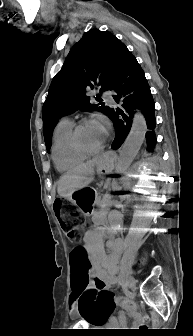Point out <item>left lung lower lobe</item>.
<instances>
[{
	"label": "left lung lower lobe",
	"instance_id": "0a47b994",
	"mask_svg": "<svg viewBox=\"0 0 193 336\" xmlns=\"http://www.w3.org/2000/svg\"><path fill=\"white\" fill-rule=\"evenodd\" d=\"M110 90L115 93L114 100L117 103L120 102L124 108V111L112 109L109 115L115 128V139L111 148L117 150L121 147L130 132L134 110L139 109L149 129L145 135L147 150L152 152L156 144L155 104L144 72L127 47L121 54L118 70Z\"/></svg>",
	"mask_w": 193,
	"mask_h": 336
}]
</instances>
